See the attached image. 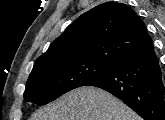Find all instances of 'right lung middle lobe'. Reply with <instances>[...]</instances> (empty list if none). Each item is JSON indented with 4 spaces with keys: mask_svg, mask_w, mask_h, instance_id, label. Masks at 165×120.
Returning a JSON list of instances; mask_svg holds the SVG:
<instances>
[{
    "mask_svg": "<svg viewBox=\"0 0 165 120\" xmlns=\"http://www.w3.org/2000/svg\"><path fill=\"white\" fill-rule=\"evenodd\" d=\"M117 64L90 58H71L36 65L27 80L24 98L27 102L45 105L106 75Z\"/></svg>",
    "mask_w": 165,
    "mask_h": 120,
    "instance_id": "obj_1",
    "label": "right lung middle lobe"
}]
</instances>
